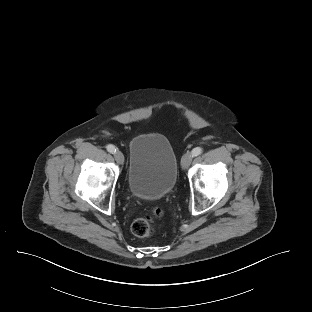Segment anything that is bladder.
<instances>
[{"instance_id": "1", "label": "bladder", "mask_w": 312, "mask_h": 312, "mask_svg": "<svg viewBox=\"0 0 312 312\" xmlns=\"http://www.w3.org/2000/svg\"><path fill=\"white\" fill-rule=\"evenodd\" d=\"M177 180V158L162 134H142L129 144L127 186L140 199L155 200L168 195Z\"/></svg>"}]
</instances>
